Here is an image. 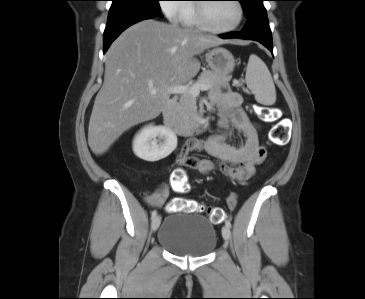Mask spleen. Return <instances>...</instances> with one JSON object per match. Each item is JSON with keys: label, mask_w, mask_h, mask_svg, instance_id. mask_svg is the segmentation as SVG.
<instances>
[{"label": "spleen", "mask_w": 365, "mask_h": 299, "mask_svg": "<svg viewBox=\"0 0 365 299\" xmlns=\"http://www.w3.org/2000/svg\"><path fill=\"white\" fill-rule=\"evenodd\" d=\"M247 87L255 95L258 103L273 105L276 89L266 64L255 54L250 55L245 76Z\"/></svg>", "instance_id": "1"}]
</instances>
